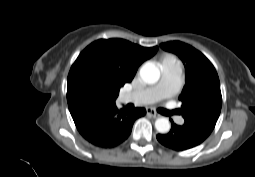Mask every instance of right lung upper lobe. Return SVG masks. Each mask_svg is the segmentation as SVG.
<instances>
[{
    "mask_svg": "<svg viewBox=\"0 0 255 177\" xmlns=\"http://www.w3.org/2000/svg\"><path fill=\"white\" fill-rule=\"evenodd\" d=\"M158 47L145 48L123 39H100L87 46L76 59L92 57L108 70L106 98H94L90 89L79 79L68 75L67 101L71 115L83 110L115 104L120 88L131 82L140 64L151 58ZM75 61V62H76Z\"/></svg>",
    "mask_w": 255,
    "mask_h": 177,
    "instance_id": "cb5924a9",
    "label": "right lung upper lobe"
}]
</instances>
